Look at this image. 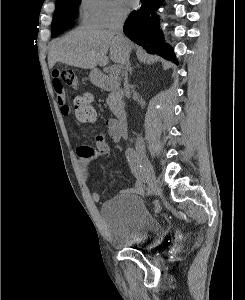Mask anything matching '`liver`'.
Returning a JSON list of instances; mask_svg holds the SVG:
<instances>
[{
	"label": "liver",
	"mask_w": 245,
	"mask_h": 300,
	"mask_svg": "<svg viewBox=\"0 0 245 300\" xmlns=\"http://www.w3.org/2000/svg\"><path fill=\"white\" fill-rule=\"evenodd\" d=\"M133 44L127 40L128 55ZM113 62L124 65L125 49L112 31L80 28L52 44L48 54L49 68L57 62L83 69H94L108 63L107 53Z\"/></svg>",
	"instance_id": "1"
}]
</instances>
